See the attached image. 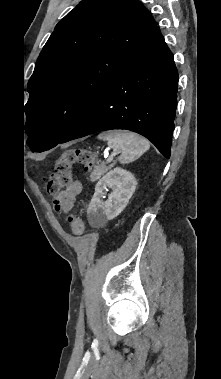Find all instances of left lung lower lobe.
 <instances>
[{
    "label": "left lung lower lobe",
    "mask_w": 221,
    "mask_h": 379,
    "mask_svg": "<svg viewBox=\"0 0 221 379\" xmlns=\"http://www.w3.org/2000/svg\"><path fill=\"white\" fill-rule=\"evenodd\" d=\"M177 87L173 54L156 27L138 53L99 93L59 143L99 131L127 129L148 138L169 158Z\"/></svg>",
    "instance_id": "0a47b994"
}]
</instances>
